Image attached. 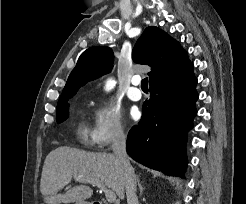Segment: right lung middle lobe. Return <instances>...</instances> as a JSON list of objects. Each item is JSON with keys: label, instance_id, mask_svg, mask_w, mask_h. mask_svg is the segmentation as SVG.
Here are the masks:
<instances>
[{"label": "right lung middle lobe", "instance_id": "obj_1", "mask_svg": "<svg viewBox=\"0 0 246 204\" xmlns=\"http://www.w3.org/2000/svg\"><path fill=\"white\" fill-rule=\"evenodd\" d=\"M71 97L72 96L59 99L58 104H57V111H56V116H57V122L58 123H61V122L65 121L68 118V116H69V113H68L69 104H68L67 101Z\"/></svg>", "mask_w": 246, "mask_h": 204}]
</instances>
